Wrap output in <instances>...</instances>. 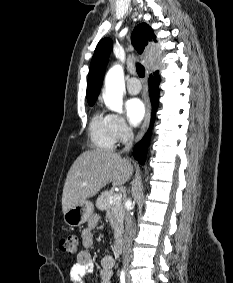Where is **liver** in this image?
I'll return each mask as SVG.
<instances>
[{"label": "liver", "mask_w": 233, "mask_h": 283, "mask_svg": "<svg viewBox=\"0 0 233 283\" xmlns=\"http://www.w3.org/2000/svg\"><path fill=\"white\" fill-rule=\"evenodd\" d=\"M133 165L119 153L105 150H87L72 164L68 171L62 194V211L96 195L109 183L122 186L130 180Z\"/></svg>", "instance_id": "6515ba94"}]
</instances>
